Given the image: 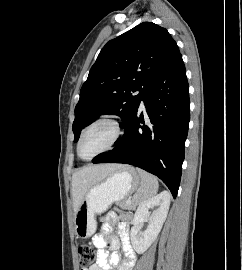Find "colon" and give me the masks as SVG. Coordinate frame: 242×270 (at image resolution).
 <instances>
[{"instance_id":"1","label":"colon","mask_w":242,"mask_h":270,"mask_svg":"<svg viewBox=\"0 0 242 270\" xmlns=\"http://www.w3.org/2000/svg\"><path fill=\"white\" fill-rule=\"evenodd\" d=\"M78 252L80 256V265L83 269L98 260V252L90 245H81Z\"/></svg>"}]
</instances>
